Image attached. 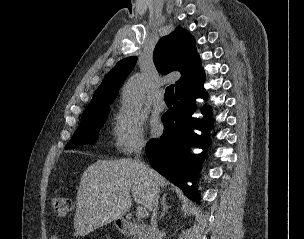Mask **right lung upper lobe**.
<instances>
[{"label":"right lung upper lobe","instance_id":"obj_1","mask_svg":"<svg viewBox=\"0 0 304 239\" xmlns=\"http://www.w3.org/2000/svg\"><path fill=\"white\" fill-rule=\"evenodd\" d=\"M153 60L157 70L162 74L172 71H179L182 74L176 82L175 91L204 74L197 54L196 42L193 36L182 27H178L173 33L159 40L153 53ZM135 63L134 56L119 61L105 76L83 115L108 106L116 98L121 84Z\"/></svg>","mask_w":304,"mask_h":239}]
</instances>
